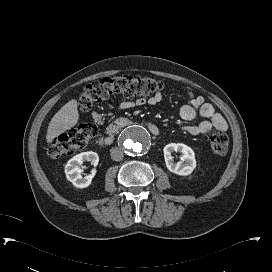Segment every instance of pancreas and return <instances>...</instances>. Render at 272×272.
I'll return each instance as SVG.
<instances>
[{"instance_id": "pancreas-1", "label": "pancreas", "mask_w": 272, "mask_h": 272, "mask_svg": "<svg viewBox=\"0 0 272 272\" xmlns=\"http://www.w3.org/2000/svg\"><path fill=\"white\" fill-rule=\"evenodd\" d=\"M130 123V120L127 118H119L115 121V124H110L107 128L108 133H117L123 126Z\"/></svg>"}]
</instances>
